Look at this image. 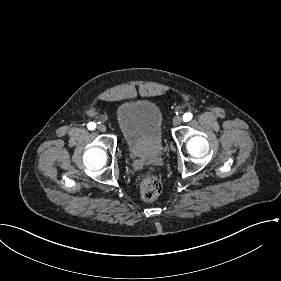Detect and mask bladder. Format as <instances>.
Masks as SVG:
<instances>
[{
    "instance_id": "obj_1",
    "label": "bladder",
    "mask_w": 281,
    "mask_h": 281,
    "mask_svg": "<svg viewBox=\"0 0 281 281\" xmlns=\"http://www.w3.org/2000/svg\"><path fill=\"white\" fill-rule=\"evenodd\" d=\"M114 121L123 145L140 158L157 156L165 140L164 113L159 104L143 97H132L115 106Z\"/></svg>"
}]
</instances>
